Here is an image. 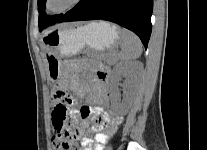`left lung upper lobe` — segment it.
<instances>
[{
	"instance_id": "left-lung-upper-lobe-1",
	"label": "left lung upper lobe",
	"mask_w": 207,
	"mask_h": 150,
	"mask_svg": "<svg viewBox=\"0 0 207 150\" xmlns=\"http://www.w3.org/2000/svg\"><path fill=\"white\" fill-rule=\"evenodd\" d=\"M45 2L46 0H38V11H39V31H42L44 28L47 26L53 25L57 23L60 18L63 16L61 15H55L49 17L48 15L45 14Z\"/></svg>"
}]
</instances>
